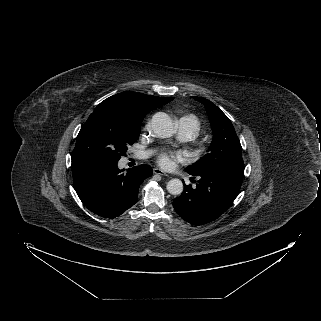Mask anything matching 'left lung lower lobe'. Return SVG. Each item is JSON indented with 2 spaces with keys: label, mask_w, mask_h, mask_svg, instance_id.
<instances>
[{
  "label": "left lung lower lobe",
  "mask_w": 321,
  "mask_h": 321,
  "mask_svg": "<svg viewBox=\"0 0 321 321\" xmlns=\"http://www.w3.org/2000/svg\"><path fill=\"white\" fill-rule=\"evenodd\" d=\"M193 175V174H190ZM244 164L220 165L200 172L196 188L184 185L173 201L176 212L192 225H203L220 217L239 194Z\"/></svg>",
  "instance_id": "obj_1"
}]
</instances>
